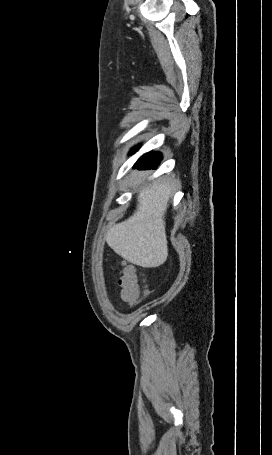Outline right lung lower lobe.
<instances>
[{
	"mask_svg": "<svg viewBox=\"0 0 272 455\" xmlns=\"http://www.w3.org/2000/svg\"><path fill=\"white\" fill-rule=\"evenodd\" d=\"M138 149V146L135 147L132 152L136 151ZM162 159V156L160 153L158 152H149L147 154H145L144 156H142L138 161L137 163L135 164V168H138V169H150V168H153L155 169L160 160Z\"/></svg>",
	"mask_w": 272,
	"mask_h": 455,
	"instance_id": "obj_1",
	"label": "right lung lower lobe"
}]
</instances>
